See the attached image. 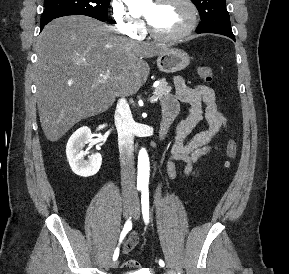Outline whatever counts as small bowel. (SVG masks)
Here are the masks:
<instances>
[{"mask_svg":"<svg viewBox=\"0 0 289 274\" xmlns=\"http://www.w3.org/2000/svg\"><path fill=\"white\" fill-rule=\"evenodd\" d=\"M174 85L176 95H166L163 98V114L177 113L180 102L189 105V110L186 118L175 129L167 172L169 177L174 179L177 175L175 162L181 160L186 163L184 176L189 178L199 173L195 166L202 157L211 152L212 147L209 142L227 129V119L219 109L212 88L201 84L189 87L180 76L175 77ZM202 119L206 121L207 127L185 142L186 136ZM138 240V234L132 232L123 244L122 252L127 254L132 251L138 244Z\"/></svg>","mask_w":289,"mask_h":274,"instance_id":"1","label":"small bowel"}]
</instances>
